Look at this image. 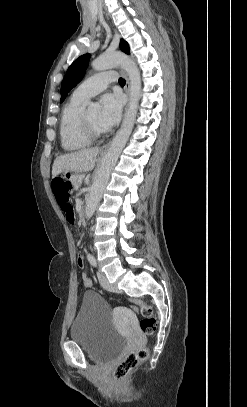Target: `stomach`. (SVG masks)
<instances>
[{"instance_id":"0dacf381","label":"stomach","mask_w":247,"mask_h":407,"mask_svg":"<svg viewBox=\"0 0 247 407\" xmlns=\"http://www.w3.org/2000/svg\"><path fill=\"white\" fill-rule=\"evenodd\" d=\"M61 177L68 178L70 181H72L73 178L78 177V170L77 169H62Z\"/></svg>"}]
</instances>
